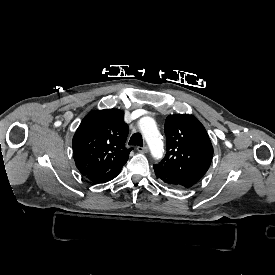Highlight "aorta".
Segmentation results:
<instances>
[{"mask_svg":"<svg viewBox=\"0 0 275 275\" xmlns=\"http://www.w3.org/2000/svg\"><path fill=\"white\" fill-rule=\"evenodd\" d=\"M138 126L150 146L152 156L159 157L162 154L163 143L155 120L149 116L142 117L138 122Z\"/></svg>","mask_w":275,"mask_h":275,"instance_id":"aorta-1","label":"aorta"}]
</instances>
